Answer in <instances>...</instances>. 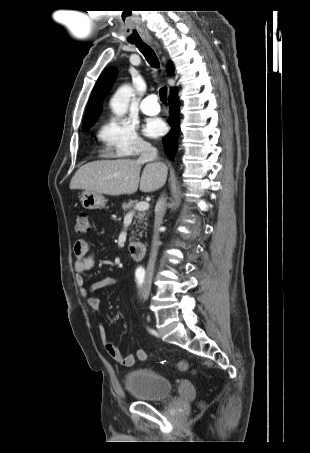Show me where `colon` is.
<instances>
[{"label": "colon", "mask_w": 310, "mask_h": 453, "mask_svg": "<svg viewBox=\"0 0 310 453\" xmlns=\"http://www.w3.org/2000/svg\"><path fill=\"white\" fill-rule=\"evenodd\" d=\"M90 230V224L88 217L85 213H79L77 218H76V224H75V231L78 234H86ZM177 367L181 371H186L188 370L189 366L188 363L184 360H180L177 362Z\"/></svg>", "instance_id": "5ec220e1"}]
</instances>
